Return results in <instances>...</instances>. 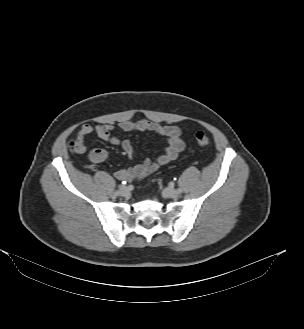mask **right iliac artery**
Masks as SVG:
<instances>
[{"instance_id":"1","label":"right iliac artery","mask_w":304,"mask_h":329,"mask_svg":"<svg viewBox=\"0 0 304 329\" xmlns=\"http://www.w3.org/2000/svg\"><path fill=\"white\" fill-rule=\"evenodd\" d=\"M115 195H119V190H117V191L115 192Z\"/></svg>"}]
</instances>
